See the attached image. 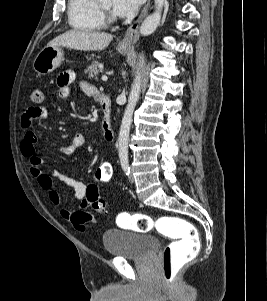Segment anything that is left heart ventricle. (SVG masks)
I'll list each match as a JSON object with an SVG mask.
<instances>
[{
	"label": "left heart ventricle",
	"mask_w": 267,
	"mask_h": 301,
	"mask_svg": "<svg viewBox=\"0 0 267 301\" xmlns=\"http://www.w3.org/2000/svg\"><path fill=\"white\" fill-rule=\"evenodd\" d=\"M102 7H104L109 12L111 11L112 0H99Z\"/></svg>",
	"instance_id": "b2bd125f"
}]
</instances>
